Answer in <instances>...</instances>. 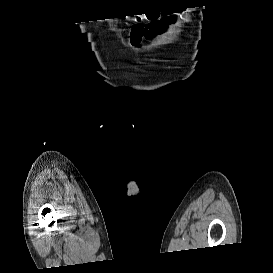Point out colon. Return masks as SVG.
<instances>
[{"label": "colon", "mask_w": 273, "mask_h": 273, "mask_svg": "<svg viewBox=\"0 0 273 273\" xmlns=\"http://www.w3.org/2000/svg\"><path fill=\"white\" fill-rule=\"evenodd\" d=\"M142 33L147 34V26L143 24H138L133 28V35L139 36Z\"/></svg>", "instance_id": "colon-1"}]
</instances>
